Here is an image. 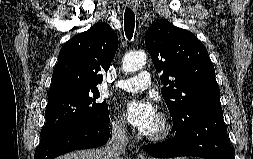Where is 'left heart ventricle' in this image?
<instances>
[{"mask_svg": "<svg viewBox=\"0 0 253 159\" xmlns=\"http://www.w3.org/2000/svg\"><path fill=\"white\" fill-rule=\"evenodd\" d=\"M157 128H158V119H157V121H156V123H155V125H154V127L152 128V130H151V132H150V133H152V132L156 131V130H157Z\"/></svg>", "mask_w": 253, "mask_h": 159, "instance_id": "b2bd125f", "label": "left heart ventricle"}]
</instances>
